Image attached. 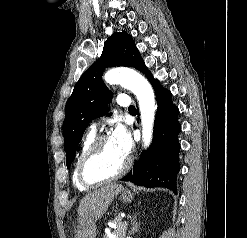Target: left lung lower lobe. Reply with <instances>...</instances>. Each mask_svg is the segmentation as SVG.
<instances>
[{
  "instance_id": "0a47b994",
  "label": "left lung lower lobe",
  "mask_w": 247,
  "mask_h": 238,
  "mask_svg": "<svg viewBox=\"0 0 247 238\" xmlns=\"http://www.w3.org/2000/svg\"><path fill=\"white\" fill-rule=\"evenodd\" d=\"M147 78L154 87L157 99V114L154 123V139L150 148L142 152L122 181H130L144 187H166L177 190L176 180L180 170V144L177 136L181 131L178 108L171 101V93L161 87L151 73Z\"/></svg>"
}]
</instances>
